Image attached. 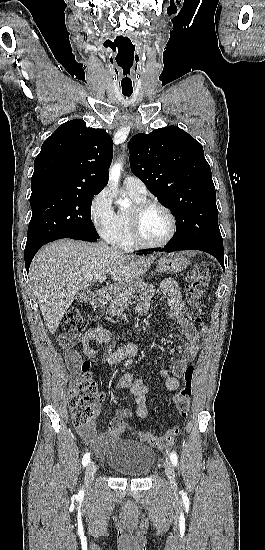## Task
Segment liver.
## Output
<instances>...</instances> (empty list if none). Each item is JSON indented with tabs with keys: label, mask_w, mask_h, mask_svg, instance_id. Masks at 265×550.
Listing matches in <instances>:
<instances>
[{
	"label": "liver",
	"mask_w": 265,
	"mask_h": 550,
	"mask_svg": "<svg viewBox=\"0 0 265 550\" xmlns=\"http://www.w3.org/2000/svg\"><path fill=\"white\" fill-rule=\"evenodd\" d=\"M153 258H134L105 243L61 239L35 256L30 277L40 311L51 334L57 330L76 294L109 274L121 292L144 274Z\"/></svg>",
	"instance_id": "6515ba94"
}]
</instances>
